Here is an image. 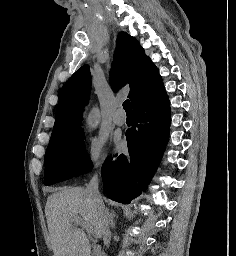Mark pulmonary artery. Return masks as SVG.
<instances>
[{"label": "pulmonary artery", "mask_w": 236, "mask_h": 256, "mask_svg": "<svg viewBox=\"0 0 236 256\" xmlns=\"http://www.w3.org/2000/svg\"><path fill=\"white\" fill-rule=\"evenodd\" d=\"M113 121H114V123H115L116 125H118V126H122V125H124V124L126 123V120H121V119H119V118H117V117H115V118L113 119Z\"/></svg>", "instance_id": "e3ab8cb5"}]
</instances>
